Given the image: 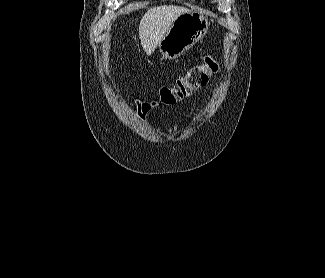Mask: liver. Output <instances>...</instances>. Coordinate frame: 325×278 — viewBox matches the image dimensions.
I'll use <instances>...</instances> for the list:
<instances>
[{
	"mask_svg": "<svg viewBox=\"0 0 325 278\" xmlns=\"http://www.w3.org/2000/svg\"><path fill=\"white\" fill-rule=\"evenodd\" d=\"M189 9L181 6L163 5L149 9L139 24V39L147 55H151L172 23Z\"/></svg>",
	"mask_w": 325,
	"mask_h": 278,
	"instance_id": "1",
	"label": "liver"
}]
</instances>
